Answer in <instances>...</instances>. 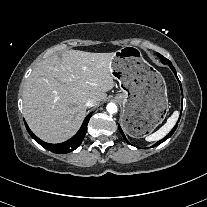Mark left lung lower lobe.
I'll return each instance as SVG.
<instances>
[{
	"label": "left lung lower lobe",
	"instance_id": "obj_1",
	"mask_svg": "<svg viewBox=\"0 0 207 207\" xmlns=\"http://www.w3.org/2000/svg\"><path fill=\"white\" fill-rule=\"evenodd\" d=\"M163 63H164V64H169L170 68L172 69V71L174 72L176 78L178 79L176 70H175L174 67L172 66L171 62H170L169 60H167L166 62H163ZM178 81H179V79H178ZM179 84H180V87H181V90H182V86H181L180 81H179ZM177 126H178V124H176V125L174 126V128L171 130V132H170L165 138H163L161 141H159V142H157L156 144H154L152 147L161 144V143L164 142L166 139H168L169 137H171L172 134L175 132ZM119 130H120L122 136L124 137V139L126 140V137H125V135H124L122 129L120 128V126H119ZM126 141H127V140H126Z\"/></svg>",
	"mask_w": 207,
	"mask_h": 207
}]
</instances>
